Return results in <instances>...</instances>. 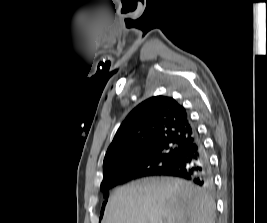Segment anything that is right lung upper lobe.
<instances>
[{"instance_id":"1","label":"right lung upper lobe","mask_w":267,"mask_h":223,"mask_svg":"<svg viewBox=\"0 0 267 223\" xmlns=\"http://www.w3.org/2000/svg\"><path fill=\"white\" fill-rule=\"evenodd\" d=\"M195 139V128L182 105L171 97H151L134 108L119 127L104 158L103 182L137 171L136 161L162 146L183 151Z\"/></svg>"}]
</instances>
